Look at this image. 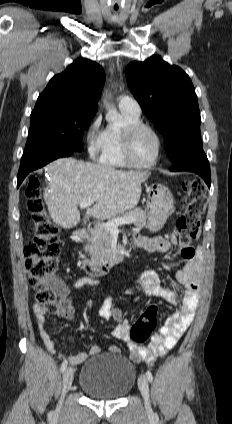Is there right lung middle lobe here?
Returning a JSON list of instances; mask_svg holds the SVG:
<instances>
[{"mask_svg":"<svg viewBox=\"0 0 232 424\" xmlns=\"http://www.w3.org/2000/svg\"><path fill=\"white\" fill-rule=\"evenodd\" d=\"M94 116V113L77 107L34 109L21 161L45 150L82 151L83 131Z\"/></svg>","mask_w":232,"mask_h":424,"instance_id":"obj_1","label":"right lung middle lobe"}]
</instances>
